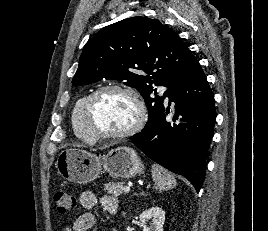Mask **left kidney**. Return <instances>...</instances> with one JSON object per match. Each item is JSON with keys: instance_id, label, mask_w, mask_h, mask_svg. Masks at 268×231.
<instances>
[{"instance_id": "left-kidney-1", "label": "left kidney", "mask_w": 268, "mask_h": 231, "mask_svg": "<svg viewBox=\"0 0 268 231\" xmlns=\"http://www.w3.org/2000/svg\"><path fill=\"white\" fill-rule=\"evenodd\" d=\"M165 215V211L158 206L143 211L139 216L143 231H163Z\"/></svg>"}]
</instances>
